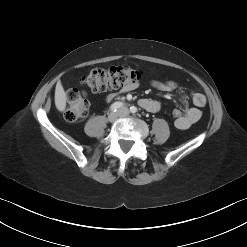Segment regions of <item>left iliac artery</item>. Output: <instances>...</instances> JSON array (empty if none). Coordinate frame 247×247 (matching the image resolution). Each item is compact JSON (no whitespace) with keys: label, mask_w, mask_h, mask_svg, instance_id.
<instances>
[{"label":"left iliac artery","mask_w":247,"mask_h":247,"mask_svg":"<svg viewBox=\"0 0 247 247\" xmlns=\"http://www.w3.org/2000/svg\"><path fill=\"white\" fill-rule=\"evenodd\" d=\"M130 112L131 113H136L137 112V108L135 106H131L130 107Z\"/></svg>","instance_id":"1"}]
</instances>
